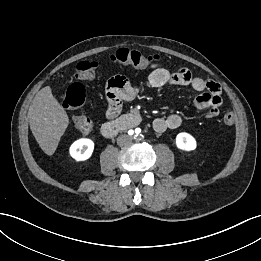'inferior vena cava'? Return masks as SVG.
<instances>
[{"instance_id":"inferior-vena-cava-1","label":"inferior vena cava","mask_w":261,"mask_h":261,"mask_svg":"<svg viewBox=\"0 0 261 261\" xmlns=\"http://www.w3.org/2000/svg\"><path fill=\"white\" fill-rule=\"evenodd\" d=\"M132 141V138L128 135H120L118 138H117V143L118 145H124V144H127L129 142Z\"/></svg>"}]
</instances>
